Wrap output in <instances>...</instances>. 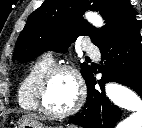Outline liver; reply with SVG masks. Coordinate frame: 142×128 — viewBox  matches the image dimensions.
<instances>
[{
  "instance_id": "obj_1",
  "label": "liver",
  "mask_w": 142,
  "mask_h": 128,
  "mask_svg": "<svg viewBox=\"0 0 142 128\" xmlns=\"http://www.w3.org/2000/svg\"><path fill=\"white\" fill-rule=\"evenodd\" d=\"M25 118H35V119H38L39 117L36 116V115H25V116H23V117L21 118V120H22V119H25Z\"/></svg>"
}]
</instances>
